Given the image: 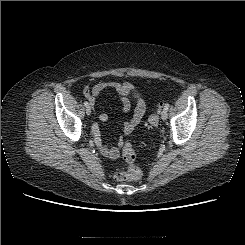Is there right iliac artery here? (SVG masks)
Instances as JSON below:
<instances>
[{
	"label": "right iliac artery",
	"mask_w": 245,
	"mask_h": 245,
	"mask_svg": "<svg viewBox=\"0 0 245 245\" xmlns=\"http://www.w3.org/2000/svg\"><path fill=\"white\" fill-rule=\"evenodd\" d=\"M84 106H85L86 108H88V107H89V103H88L87 101H84Z\"/></svg>",
	"instance_id": "1"
}]
</instances>
